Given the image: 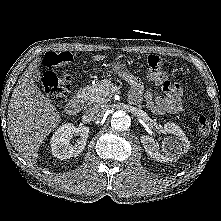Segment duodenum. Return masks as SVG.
Wrapping results in <instances>:
<instances>
[{
  "instance_id": "410a0bca",
  "label": "duodenum",
  "mask_w": 221,
  "mask_h": 221,
  "mask_svg": "<svg viewBox=\"0 0 221 221\" xmlns=\"http://www.w3.org/2000/svg\"><path fill=\"white\" fill-rule=\"evenodd\" d=\"M91 100V95L88 92L83 91L66 104V112L69 115H77L79 114L83 104H89Z\"/></svg>"
}]
</instances>
